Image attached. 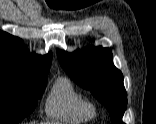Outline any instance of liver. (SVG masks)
Listing matches in <instances>:
<instances>
[{
    "instance_id": "liver-1",
    "label": "liver",
    "mask_w": 156,
    "mask_h": 124,
    "mask_svg": "<svg viewBox=\"0 0 156 124\" xmlns=\"http://www.w3.org/2000/svg\"><path fill=\"white\" fill-rule=\"evenodd\" d=\"M46 124H55V123H46Z\"/></svg>"
}]
</instances>
